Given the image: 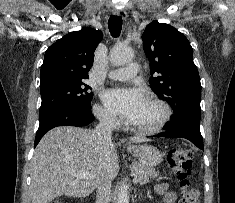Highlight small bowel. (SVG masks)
<instances>
[{
	"label": "small bowel",
	"instance_id": "1",
	"mask_svg": "<svg viewBox=\"0 0 235 203\" xmlns=\"http://www.w3.org/2000/svg\"><path fill=\"white\" fill-rule=\"evenodd\" d=\"M158 194L163 197L164 203H175L177 199V194L175 192L169 191L168 185L166 183L158 184L155 187Z\"/></svg>",
	"mask_w": 235,
	"mask_h": 203
}]
</instances>
